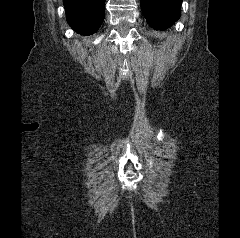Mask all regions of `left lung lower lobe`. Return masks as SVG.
Here are the masks:
<instances>
[{"label":"left lung lower lobe","mask_w":240,"mask_h":238,"mask_svg":"<svg viewBox=\"0 0 240 238\" xmlns=\"http://www.w3.org/2000/svg\"><path fill=\"white\" fill-rule=\"evenodd\" d=\"M148 23L157 30L170 27L180 18L182 0H140Z\"/></svg>","instance_id":"obj_1"}]
</instances>
